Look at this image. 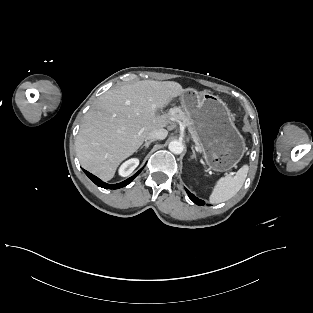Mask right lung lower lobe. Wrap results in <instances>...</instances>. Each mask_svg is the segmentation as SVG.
I'll return each instance as SVG.
<instances>
[{"label": "right lung lower lobe", "mask_w": 313, "mask_h": 313, "mask_svg": "<svg viewBox=\"0 0 313 313\" xmlns=\"http://www.w3.org/2000/svg\"><path fill=\"white\" fill-rule=\"evenodd\" d=\"M142 170V169H141ZM141 170H139L136 174H134L132 177L128 178L127 180L121 182V183H117V184H107L105 182H103L102 180H100L98 177L94 176L93 174L89 173L88 171L84 170L85 174L99 187L105 188V189H118V188H122L126 185H128L140 172Z\"/></svg>", "instance_id": "98d812e1"}]
</instances>
